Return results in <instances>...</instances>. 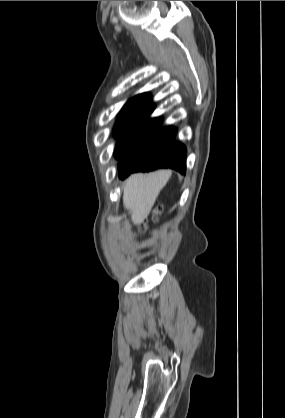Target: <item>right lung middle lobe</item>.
<instances>
[{
	"instance_id": "obj_1",
	"label": "right lung middle lobe",
	"mask_w": 285,
	"mask_h": 418,
	"mask_svg": "<svg viewBox=\"0 0 285 418\" xmlns=\"http://www.w3.org/2000/svg\"><path fill=\"white\" fill-rule=\"evenodd\" d=\"M153 109L154 107L139 104H126L123 107L114 126V136L118 138L116 157L131 151L159 128L162 120L149 118Z\"/></svg>"
}]
</instances>
